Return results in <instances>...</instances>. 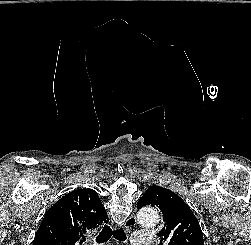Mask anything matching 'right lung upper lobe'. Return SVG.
Segmentation results:
<instances>
[{
    "label": "right lung upper lobe",
    "mask_w": 251,
    "mask_h": 245,
    "mask_svg": "<svg viewBox=\"0 0 251 245\" xmlns=\"http://www.w3.org/2000/svg\"><path fill=\"white\" fill-rule=\"evenodd\" d=\"M106 220L107 213L95 190H74L47 211L33 245H75L83 233Z\"/></svg>",
    "instance_id": "right-lung-upper-lobe-1"
}]
</instances>
